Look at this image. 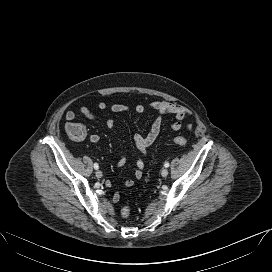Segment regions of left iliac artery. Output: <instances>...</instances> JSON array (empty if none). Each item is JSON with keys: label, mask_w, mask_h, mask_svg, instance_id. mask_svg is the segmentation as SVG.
<instances>
[{"label": "left iliac artery", "mask_w": 272, "mask_h": 272, "mask_svg": "<svg viewBox=\"0 0 272 272\" xmlns=\"http://www.w3.org/2000/svg\"><path fill=\"white\" fill-rule=\"evenodd\" d=\"M164 167H169V162H166L165 164H164Z\"/></svg>", "instance_id": "1"}]
</instances>
